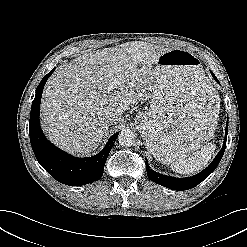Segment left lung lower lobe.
Instances as JSON below:
<instances>
[{
	"label": "left lung lower lobe",
	"instance_id": "left-lung-lower-lobe-1",
	"mask_svg": "<svg viewBox=\"0 0 247 247\" xmlns=\"http://www.w3.org/2000/svg\"><path fill=\"white\" fill-rule=\"evenodd\" d=\"M213 78L216 80V82L219 83L218 79L214 75L213 72H211ZM227 130H228V125L226 126V132H225V139L223 142V146L215 159L212 161V163L205 168L202 172L192 176V177H187V178H174V177H169L165 176L162 174H159L153 170H151L148 166V163L146 161V170H147V176L148 178L157 183L160 184L164 187H167L172 190H188L191 189L195 186H197L199 183H201L203 180H205L217 167L219 164L224 151L226 147V139H227Z\"/></svg>",
	"mask_w": 247,
	"mask_h": 247
}]
</instances>
